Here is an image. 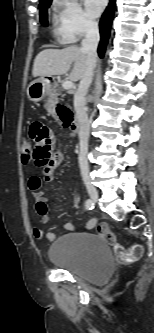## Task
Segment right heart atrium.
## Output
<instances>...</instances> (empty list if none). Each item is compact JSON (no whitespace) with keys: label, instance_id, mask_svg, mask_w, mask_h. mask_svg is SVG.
I'll return each mask as SVG.
<instances>
[{"label":"right heart atrium","instance_id":"obj_1","mask_svg":"<svg viewBox=\"0 0 154 333\" xmlns=\"http://www.w3.org/2000/svg\"><path fill=\"white\" fill-rule=\"evenodd\" d=\"M55 12L56 36L62 43H74L96 29L77 0H58Z\"/></svg>","mask_w":154,"mask_h":333}]
</instances>
